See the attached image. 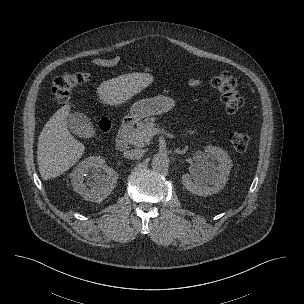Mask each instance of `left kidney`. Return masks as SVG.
I'll use <instances>...</instances> for the list:
<instances>
[{
    "label": "left kidney",
    "mask_w": 304,
    "mask_h": 304,
    "mask_svg": "<svg viewBox=\"0 0 304 304\" xmlns=\"http://www.w3.org/2000/svg\"><path fill=\"white\" fill-rule=\"evenodd\" d=\"M210 158H215L218 165L212 164ZM193 159L192 173L182 176L183 186L192 194L204 197L221 191L232 168L227 152L217 146H207L205 152H197Z\"/></svg>",
    "instance_id": "left-kidney-1"
}]
</instances>
